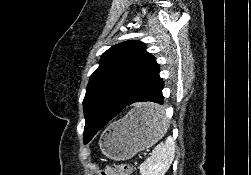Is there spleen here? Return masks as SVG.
I'll return each mask as SVG.
<instances>
[{"mask_svg":"<svg viewBox=\"0 0 251 175\" xmlns=\"http://www.w3.org/2000/svg\"><path fill=\"white\" fill-rule=\"evenodd\" d=\"M153 121L159 123L160 131H167L168 123L163 117V111H152ZM175 155V141L171 135L166 141H161L152 151L151 157L140 163L139 171L141 175H164L169 169Z\"/></svg>","mask_w":251,"mask_h":175,"instance_id":"spleen-1","label":"spleen"}]
</instances>
